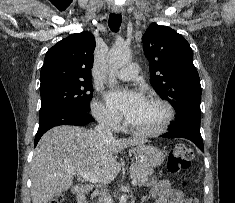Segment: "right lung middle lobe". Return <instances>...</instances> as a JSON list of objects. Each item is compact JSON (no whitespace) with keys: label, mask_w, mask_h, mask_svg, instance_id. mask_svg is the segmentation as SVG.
<instances>
[{"label":"right lung middle lobe","mask_w":235,"mask_h":203,"mask_svg":"<svg viewBox=\"0 0 235 203\" xmlns=\"http://www.w3.org/2000/svg\"><path fill=\"white\" fill-rule=\"evenodd\" d=\"M92 92L91 80L56 81L41 85L39 116L63 108L89 112Z\"/></svg>","instance_id":"dd1d6c3e"}]
</instances>
